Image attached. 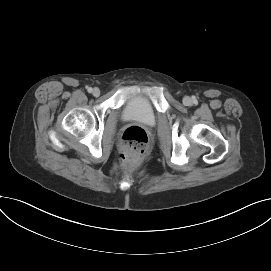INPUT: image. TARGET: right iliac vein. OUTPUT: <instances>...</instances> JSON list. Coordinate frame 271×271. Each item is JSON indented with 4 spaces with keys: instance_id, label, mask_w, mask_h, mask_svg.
Listing matches in <instances>:
<instances>
[{
    "instance_id": "obj_1",
    "label": "right iliac vein",
    "mask_w": 271,
    "mask_h": 271,
    "mask_svg": "<svg viewBox=\"0 0 271 271\" xmlns=\"http://www.w3.org/2000/svg\"><path fill=\"white\" fill-rule=\"evenodd\" d=\"M92 94L93 96L98 97L100 95V90L98 88H94L92 90Z\"/></svg>"
}]
</instances>
